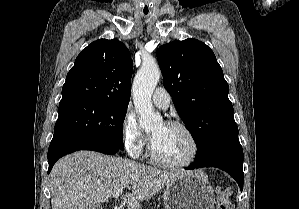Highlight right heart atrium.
<instances>
[{
    "mask_svg": "<svg viewBox=\"0 0 299 209\" xmlns=\"http://www.w3.org/2000/svg\"><path fill=\"white\" fill-rule=\"evenodd\" d=\"M123 144L133 158H139L145 148L146 137L141 131L134 114L127 112L122 120Z\"/></svg>",
    "mask_w": 299,
    "mask_h": 209,
    "instance_id": "1",
    "label": "right heart atrium"
}]
</instances>
